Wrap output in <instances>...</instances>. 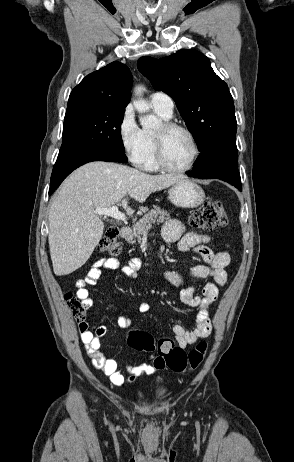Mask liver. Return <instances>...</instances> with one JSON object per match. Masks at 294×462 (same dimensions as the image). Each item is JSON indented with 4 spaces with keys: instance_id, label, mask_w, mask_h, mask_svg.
Instances as JSON below:
<instances>
[{
    "instance_id": "6515ba94",
    "label": "liver",
    "mask_w": 294,
    "mask_h": 462,
    "mask_svg": "<svg viewBox=\"0 0 294 462\" xmlns=\"http://www.w3.org/2000/svg\"><path fill=\"white\" fill-rule=\"evenodd\" d=\"M186 177L181 174L150 175L107 162H91L76 169L62 184L49 211L48 242L54 274L68 275L83 266L102 238L104 223L96 208L121 202L128 212V194L143 203L151 193Z\"/></svg>"
}]
</instances>
